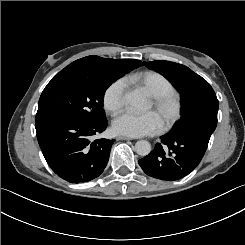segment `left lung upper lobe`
<instances>
[{
	"instance_id": "obj_1",
	"label": "left lung upper lobe",
	"mask_w": 245,
	"mask_h": 245,
	"mask_svg": "<svg viewBox=\"0 0 245 245\" xmlns=\"http://www.w3.org/2000/svg\"><path fill=\"white\" fill-rule=\"evenodd\" d=\"M149 69L168 79L181 95V119L187 114L199 113V107L208 104L209 97H216L210 84L188 67L169 61L144 62Z\"/></svg>"
}]
</instances>
